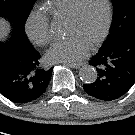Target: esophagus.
Segmentation results:
<instances>
[{
    "label": "esophagus",
    "instance_id": "1",
    "mask_svg": "<svg viewBox=\"0 0 135 135\" xmlns=\"http://www.w3.org/2000/svg\"><path fill=\"white\" fill-rule=\"evenodd\" d=\"M66 65L71 68L78 69L82 66V63H70V64H66Z\"/></svg>",
    "mask_w": 135,
    "mask_h": 135
}]
</instances>
